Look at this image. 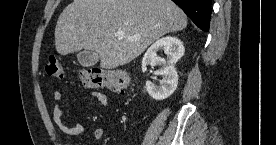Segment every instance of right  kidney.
<instances>
[{"mask_svg":"<svg viewBox=\"0 0 276 145\" xmlns=\"http://www.w3.org/2000/svg\"><path fill=\"white\" fill-rule=\"evenodd\" d=\"M163 50L166 59L158 57L157 51ZM185 48L181 40L176 37H163L151 45L142 60V70L146 71V66L159 65L161 68L155 75H161L163 82L160 86L154 85L151 81L146 82L148 94L155 100L161 101L168 98L177 88L178 74L175 68L177 61L184 55Z\"/></svg>","mask_w":276,"mask_h":145,"instance_id":"1","label":"right kidney"}]
</instances>
